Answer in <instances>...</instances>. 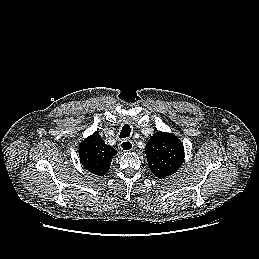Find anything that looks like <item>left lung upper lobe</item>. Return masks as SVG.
Segmentation results:
<instances>
[{
	"instance_id": "left-lung-upper-lobe-1",
	"label": "left lung upper lobe",
	"mask_w": 259,
	"mask_h": 259,
	"mask_svg": "<svg viewBox=\"0 0 259 259\" xmlns=\"http://www.w3.org/2000/svg\"><path fill=\"white\" fill-rule=\"evenodd\" d=\"M145 154L151 172L158 178L174 174L184 160L182 142L173 134L161 131L151 136Z\"/></svg>"
}]
</instances>
